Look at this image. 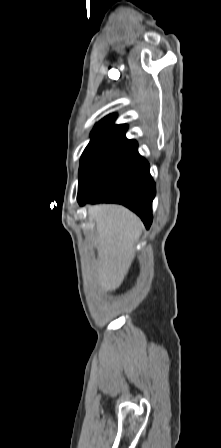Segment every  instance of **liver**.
Returning <instances> with one entry per match:
<instances>
[{"mask_svg":"<svg viewBox=\"0 0 221 448\" xmlns=\"http://www.w3.org/2000/svg\"><path fill=\"white\" fill-rule=\"evenodd\" d=\"M89 216L96 222V277L105 290L118 288L135 258V243L143 224L138 216L121 205L90 206Z\"/></svg>","mask_w":221,"mask_h":448,"instance_id":"obj_1","label":"liver"}]
</instances>
